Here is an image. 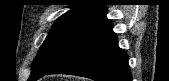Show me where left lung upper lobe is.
<instances>
[{
  "mask_svg": "<svg viewBox=\"0 0 169 81\" xmlns=\"http://www.w3.org/2000/svg\"><path fill=\"white\" fill-rule=\"evenodd\" d=\"M72 3V9L56 20L43 42L33 61L28 81L50 70L74 37L107 12L104 5L82 4L84 1Z\"/></svg>",
  "mask_w": 169,
  "mask_h": 81,
  "instance_id": "1",
  "label": "left lung upper lobe"
}]
</instances>
